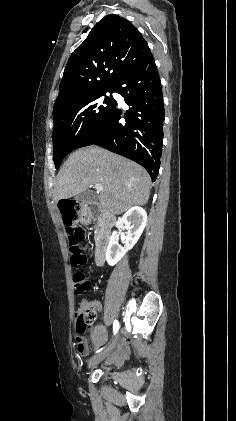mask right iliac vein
I'll use <instances>...</instances> for the list:
<instances>
[{"mask_svg": "<svg viewBox=\"0 0 236 421\" xmlns=\"http://www.w3.org/2000/svg\"><path fill=\"white\" fill-rule=\"evenodd\" d=\"M115 344H116V340H114L112 343H110L109 346L105 350H103L101 353L93 356L90 359V362H89V365H88L89 368L97 365L99 362L104 360L113 351V349L115 348Z\"/></svg>", "mask_w": 236, "mask_h": 421, "instance_id": "63e3f726", "label": "right iliac vein"}]
</instances>
